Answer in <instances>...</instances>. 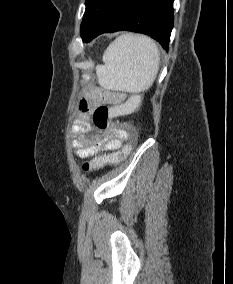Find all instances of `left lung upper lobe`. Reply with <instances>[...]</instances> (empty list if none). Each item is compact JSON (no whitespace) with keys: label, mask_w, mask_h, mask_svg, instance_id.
Segmentation results:
<instances>
[{"label":"left lung upper lobe","mask_w":233,"mask_h":284,"mask_svg":"<svg viewBox=\"0 0 233 284\" xmlns=\"http://www.w3.org/2000/svg\"><path fill=\"white\" fill-rule=\"evenodd\" d=\"M105 0H86V9L81 24V36L83 37L91 28L97 9Z\"/></svg>","instance_id":"1"}]
</instances>
